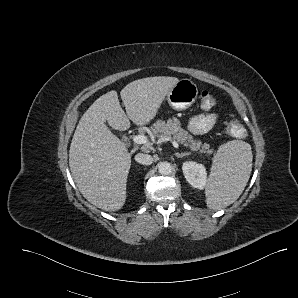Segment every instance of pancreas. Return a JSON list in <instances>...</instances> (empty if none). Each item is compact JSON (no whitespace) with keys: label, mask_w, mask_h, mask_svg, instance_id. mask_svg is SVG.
I'll return each instance as SVG.
<instances>
[{"label":"pancreas","mask_w":298,"mask_h":298,"mask_svg":"<svg viewBox=\"0 0 298 298\" xmlns=\"http://www.w3.org/2000/svg\"><path fill=\"white\" fill-rule=\"evenodd\" d=\"M150 129L158 138L171 137L183 146L189 144L192 150H199L201 153H212L209 144L193 140L192 136L182 129L181 124L175 117L167 120L159 118L152 124Z\"/></svg>","instance_id":"1"}]
</instances>
